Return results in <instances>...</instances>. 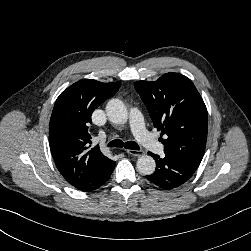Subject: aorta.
I'll return each mask as SVG.
<instances>
[{
    "label": "aorta",
    "mask_w": 251,
    "mask_h": 251,
    "mask_svg": "<svg viewBox=\"0 0 251 251\" xmlns=\"http://www.w3.org/2000/svg\"><path fill=\"white\" fill-rule=\"evenodd\" d=\"M106 114L110 122L114 124H124L128 119V111L125 104L119 99H111L106 105ZM137 169L144 175H151L156 168L155 160L148 155L139 157Z\"/></svg>",
    "instance_id": "obj_1"
}]
</instances>
